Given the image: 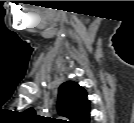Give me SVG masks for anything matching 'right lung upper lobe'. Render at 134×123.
I'll return each mask as SVG.
<instances>
[{"label": "right lung upper lobe", "mask_w": 134, "mask_h": 123, "mask_svg": "<svg viewBox=\"0 0 134 123\" xmlns=\"http://www.w3.org/2000/svg\"><path fill=\"white\" fill-rule=\"evenodd\" d=\"M58 111L68 118L70 123H88L90 105L85 90L76 82H64L59 88ZM29 115H35L32 108L26 110Z\"/></svg>", "instance_id": "cb5924a9"}]
</instances>
